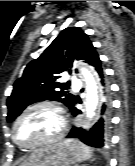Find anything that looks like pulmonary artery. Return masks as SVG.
I'll return each mask as SVG.
<instances>
[{
    "label": "pulmonary artery",
    "mask_w": 135,
    "mask_h": 166,
    "mask_svg": "<svg viewBox=\"0 0 135 166\" xmlns=\"http://www.w3.org/2000/svg\"><path fill=\"white\" fill-rule=\"evenodd\" d=\"M71 82H72V85H73L74 87H78L79 84H80L79 80H77V79H75V78H72Z\"/></svg>",
    "instance_id": "e3ab8cb5"
}]
</instances>
